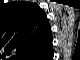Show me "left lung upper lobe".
I'll use <instances>...</instances> for the list:
<instances>
[{"mask_svg": "<svg viewBox=\"0 0 80 60\" xmlns=\"http://www.w3.org/2000/svg\"><path fill=\"white\" fill-rule=\"evenodd\" d=\"M43 16L45 13L34 3H8L0 16V31L4 30L9 49L24 54L31 48L39 49L45 40Z\"/></svg>", "mask_w": 80, "mask_h": 60, "instance_id": "left-lung-upper-lobe-1", "label": "left lung upper lobe"}]
</instances>
